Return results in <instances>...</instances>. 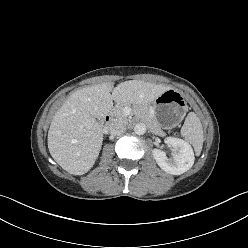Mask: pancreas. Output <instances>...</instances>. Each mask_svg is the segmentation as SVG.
<instances>
[{
	"mask_svg": "<svg viewBox=\"0 0 248 248\" xmlns=\"http://www.w3.org/2000/svg\"><path fill=\"white\" fill-rule=\"evenodd\" d=\"M125 107H131L133 112L139 118H141L143 121L152 125L153 133L160 135V136L164 135L160 126L152 120L151 115H150V109H149V106H147V105L135 106V105H131V104H121V105L117 106L113 111V115H114L116 121L124 123V124H126L128 122V118L124 114V108Z\"/></svg>",
	"mask_w": 248,
	"mask_h": 248,
	"instance_id": "pancreas-1",
	"label": "pancreas"
}]
</instances>
